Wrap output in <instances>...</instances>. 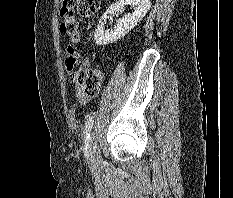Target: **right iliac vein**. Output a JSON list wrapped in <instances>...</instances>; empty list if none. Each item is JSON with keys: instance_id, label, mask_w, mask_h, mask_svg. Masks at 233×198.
Listing matches in <instances>:
<instances>
[{"instance_id": "obj_1", "label": "right iliac vein", "mask_w": 233, "mask_h": 198, "mask_svg": "<svg viewBox=\"0 0 233 198\" xmlns=\"http://www.w3.org/2000/svg\"><path fill=\"white\" fill-rule=\"evenodd\" d=\"M89 151H90L91 160L94 163V165H99L101 162V158L98 152L92 147V141H90Z\"/></svg>"}]
</instances>
